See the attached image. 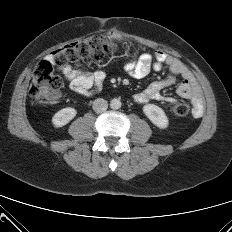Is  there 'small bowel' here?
I'll return each instance as SVG.
<instances>
[{
  "label": "small bowel",
  "mask_w": 232,
  "mask_h": 232,
  "mask_svg": "<svg viewBox=\"0 0 232 232\" xmlns=\"http://www.w3.org/2000/svg\"><path fill=\"white\" fill-rule=\"evenodd\" d=\"M164 67L167 68V75L161 80L152 82L143 91L135 94L134 100L139 103L149 100L175 103L177 101L176 98L165 96L162 94V91L172 85L176 77L179 76L182 78V81L176 89L177 95L189 100L192 103L193 116L200 117L204 110L200 89L195 82L192 71L179 58L164 51H157L154 55L143 52L129 60L125 66V72L133 79H143L149 75L151 70L161 71ZM60 72L66 79L70 90L83 96L99 92L106 78V73L103 69H95L88 72L76 70L70 66H63L60 68ZM58 97L59 95L57 94L53 98Z\"/></svg>",
  "instance_id": "obj_1"
}]
</instances>
